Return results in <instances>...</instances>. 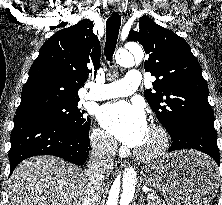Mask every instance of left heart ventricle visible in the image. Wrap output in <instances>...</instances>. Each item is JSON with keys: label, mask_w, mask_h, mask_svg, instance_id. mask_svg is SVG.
<instances>
[{"label": "left heart ventricle", "mask_w": 222, "mask_h": 205, "mask_svg": "<svg viewBox=\"0 0 222 205\" xmlns=\"http://www.w3.org/2000/svg\"><path fill=\"white\" fill-rule=\"evenodd\" d=\"M157 143L158 135L149 127L144 139L139 144V146H137V149L142 151H149L153 149Z\"/></svg>", "instance_id": "obj_1"}]
</instances>
